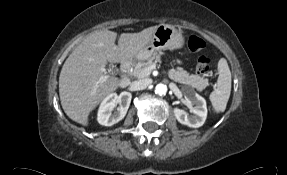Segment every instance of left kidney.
<instances>
[{
  "label": "left kidney",
  "mask_w": 287,
  "mask_h": 175,
  "mask_svg": "<svg viewBox=\"0 0 287 175\" xmlns=\"http://www.w3.org/2000/svg\"><path fill=\"white\" fill-rule=\"evenodd\" d=\"M185 99L190 106H194L191 110L193 115H189L184 110L175 108L174 114L176 119L181 124L187 125L192 128L201 127L207 117V106L205 99L194 92L187 93L185 95Z\"/></svg>",
  "instance_id": "obj_1"
}]
</instances>
